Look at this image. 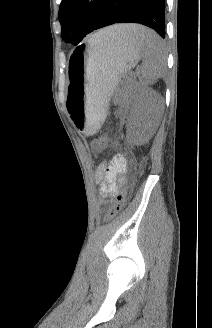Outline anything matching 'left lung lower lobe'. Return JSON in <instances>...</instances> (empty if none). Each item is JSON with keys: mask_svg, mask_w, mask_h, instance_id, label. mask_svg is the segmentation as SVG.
<instances>
[{"mask_svg": "<svg viewBox=\"0 0 212 328\" xmlns=\"http://www.w3.org/2000/svg\"><path fill=\"white\" fill-rule=\"evenodd\" d=\"M115 23H139L165 38V0H105L94 30Z\"/></svg>", "mask_w": 212, "mask_h": 328, "instance_id": "1", "label": "left lung lower lobe"}]
</instances>
